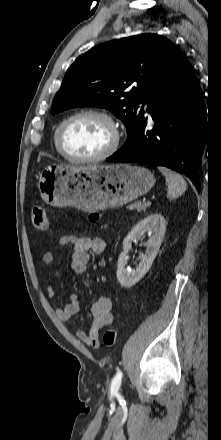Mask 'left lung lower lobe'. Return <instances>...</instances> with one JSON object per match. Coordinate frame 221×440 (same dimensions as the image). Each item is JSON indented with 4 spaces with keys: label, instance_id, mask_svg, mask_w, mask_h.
Returning <instances> with one entry per match:
<instances>
[{
    "label": "left lung lower lobe",
    "instance_id": "1",
    "mask_svg": "<svg viewBox=\"0 0 221 440\" xmlns=\"http://www.w3.org/2000/svg\"><path fill=\"white\" fill-rule=\"evenodd\" d=\"M154 127L144 116L137 129L109 162H139L166 166L191 179L199 192V167L207 121L203 93L192 66L182 57L174 71L147 102Z\"/></svg>",
    "mask_w": 221,
    "mask_h": 440
}]
</instances>
